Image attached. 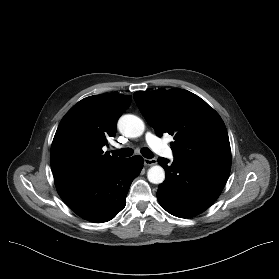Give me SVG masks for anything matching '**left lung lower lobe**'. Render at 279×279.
Segmentation results:
<instances>
[{"mask_svg": "<svg viewBox=\"0 0 279 279\" xmlns=\"http://www.w3.org/2000/svg\"><path fill=\"white\" fill-rule=\"evenodd\" d=\"M166 179L158 186L157 198L170 214L189 218L205 211L220 195L231 170L230 166L160 157Z\"/></svg>", "mask_w": 279, "mask_h": 279, "instance_id": "1", "label": "left lung lower lobe"}]
</instances>
